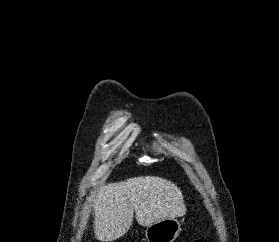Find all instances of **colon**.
Listing matches in <instances>:
<instances>
[{
  "instance_id": "colon-1",
  "label": "colon",
  "mask_w": 279,
  "mask_h": 242,
  "mask_svg": "<svg viewBox=\"0 0 279 242\" xmlns=\"http://www.w3.org/2000/svg\"><path fill=\"white\" fill-rule=\"evenodd\" d=\"M194 242H203L201 239H197Z\"/></svg>"
}]
</instances>
